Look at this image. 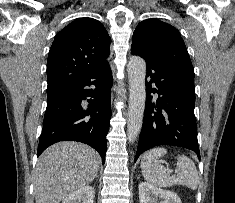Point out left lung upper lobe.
<instances>
[{"label": "left lung upper lobe", "instance_id": "1", "mask_svg": "<svg viewBox=\"0 0 235 203\" xmlns=\"http://www.w3.org/2000/svg\"><path fill=\"white\" fill-rule=\"evenodd\" d=\"M131 50L194 77L193 66L179 31L172 25L151 18L140 22L132 37Z\"/></svg>", "mask_w": 235, "mask_h": 203}]
</instances>
